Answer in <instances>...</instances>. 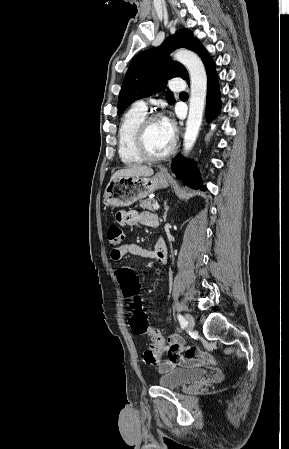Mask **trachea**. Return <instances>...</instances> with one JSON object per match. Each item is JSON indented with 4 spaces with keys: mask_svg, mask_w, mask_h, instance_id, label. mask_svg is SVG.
Masks as SVG:
<instances>
[{
    "mask_svg": "<svg viewBox=\"0 0 289 449\" xmlns=\"http://www.w3.org/2000/svg\"><path fill=\"white\" fill-rule=\"evenodd\" d=\"M181 94H186V92H181Z\"/></svg>",
    "mask_w": 289,
    "mask_h": 449,
    "instance_id": "1",
    "label": "trachea"
}]
</instances>
